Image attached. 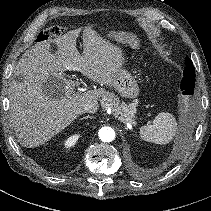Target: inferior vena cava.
<instances>
[{
  "label": "inferior vena cava",
  "instance_id": "inferior-vena-cava-1",
  "mask_svg": "<svg viewBox=\"0 0 211 211\" xmlns=\"http://www.w3.org/2000/svg\"><path fill=\"white\" fill-rule=\"evenodd\" d=\"M98 105L96 103H86L83 106V112L87 113H96L98 110Z\"/></svg>",
  "mask_w": 211,
  "mask_h": 211
}]
</instances>
